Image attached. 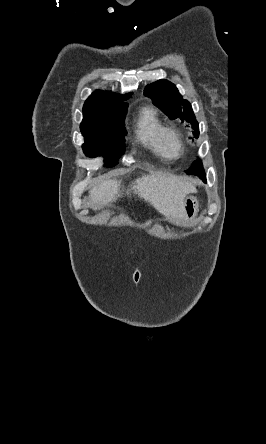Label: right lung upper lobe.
Segmentation results:
<instances>
[{"instance_id": "obj_1", "label": "right lung upper lobe", "mask_w": 266, "mask_h": 444, "mask_svg": "<svg viewBox=\"0 0 266 444\" xmlns=\"http://www.w3.org/2000/svg\"><path fill=\"white\" fill-rule=\"evenodd\" d=\"M131 96V93L126 95H119L109 92H103V91H95L85 102L83 111L90 110L92 108H95L97 106H100L102 104L106 103H114V102H123V100L128 99Z\"/></svg>"}]
</instances>
